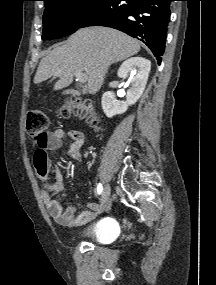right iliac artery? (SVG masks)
I'll use <instances>...</instances> for the list:
<instances>
[{
    "label": "right iliac artery",
    "mask_w": 216,
    "mask_h": 285,
    "mask_svg": "<svg viewBox=\"0 0 216 285\" xmlns=\"http://www.w3.org/2000/svg\"><path fill=\"white\" fill-rule=\"evenodd\" d=\"M102 190H103L102 184L99 183V184L97 185V193H98V194H101V193H102Z\"/></svg>",
    "instance_id": "obj_1"
}]
</instances>
